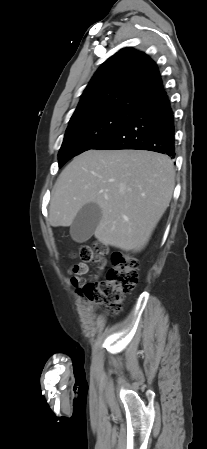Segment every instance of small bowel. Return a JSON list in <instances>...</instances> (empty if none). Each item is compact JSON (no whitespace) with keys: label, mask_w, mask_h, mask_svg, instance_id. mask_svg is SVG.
<instances>
[{"label":"small bowel","mask_w":207,"mask_h":449,"mask_svg":"<svg viewBox=\"0 0 207 449\" xmlns=\"http://www.w3.org/2000/svg\"><path fill=\"white\" fill-rule=\"evenodd\" d=\"M88 272V265L84 262L76 263L71 266L69 273L70 277L67 282L70 285L77 286L82 281V276Z\"/></svg>","instance_id":"small-bowel-1"}]
</instances>
